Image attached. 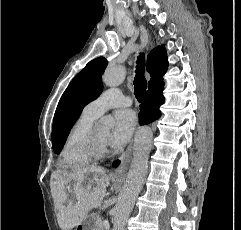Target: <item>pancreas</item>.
Wrapping results in <instances>:
<instances>
[{
  "mask_svg": "<svg viewBox=\"0 0 241 230\" xmlns=\"http://www.w3.org/2000/svg\"><path fill=\"white\" fill-rule=\"evenodd\" d=\"M95 230H105L104 225L102 223H96Z\"/></svg>",
  "mask_w": 241,
  "mask_h": 230,
  "instance_id": "pancreas-1",
  "label": "pancreas"
}]
</instances>
